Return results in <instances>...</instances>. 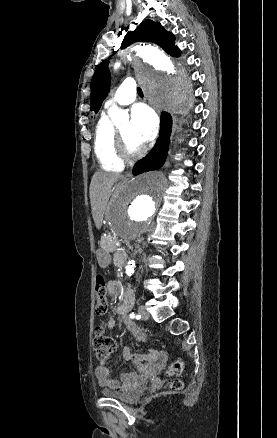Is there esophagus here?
<instances>
[{"instance_id": "esophagus-1", "label": "esophagus", "mask_w": 277, "mask_h": 438, "mask_svg": "<svg viewBox=\"0 0 277 438\" xmlns=\"http://www.w3.org/2000/svg\"><path fill=\"white\" fill-rule=\"evenodd\" d=\"M131 176H132V174L129 173V174H127V175L125 176V178H129V177H131Z\"/></svg>"}]
</instances>
